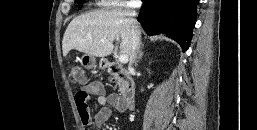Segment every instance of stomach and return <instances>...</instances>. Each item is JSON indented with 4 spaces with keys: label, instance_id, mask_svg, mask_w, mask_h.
<instances>
[{
    "label": "stomach",
    "instance_id": "stomach-1",
    "mask_svg": "<svg viewBox=\"0 0 257 130\" xmlns=\"http://www.w3.org/2000/svg\"><path fill=\"white\" fill-rule=\"evenodd\" d=\"M81 62L87 68H94L96 66V59L90 54H84L81 58ZM105 64L106 60L102 58L99 63L100 68H103Z\"/></svg>",
    "mask_w": 257,
    "mask_h": 130
}]
</instances>
